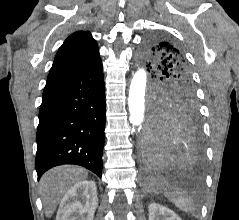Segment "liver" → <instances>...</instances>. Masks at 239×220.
<instances>
[{
	"label": "liver",
	"instance_id": "6515ba94",
	"mask_svg": "<svg viewBox=\"0 0 239 220\" xmlns=\"http://www.w3.org/2000/svg\"><path fill=\"white\" fill-rule=\"evenodd\" d=\"M87 178V171L77 166H59L47 171L40 180L44 211L50 217L68 190Z\"/></svg>",
	"mask_w": 239,
	"mask_h": 220
}]
</instances>
